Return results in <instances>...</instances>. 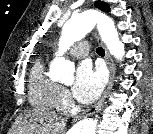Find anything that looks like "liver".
<instances>
[{
	"label": "liver",
	"instance_id": "6515ba94",
	"mask_svg": "<svg viewBox=\"0 0 153 134\" xmlns=\"http://www.w3.org/2000/svg\"><path fill=\"white\" fill-rule=\"evenodd\" d=\"M27 119L29 122H27ZM64 127V121L59 124L57 116L40 111H26L24 113V122L17 129V134H49L56 132L59 128Z\"/></svg>",
	"mask_w": 153,
	"mask_h": 134
}]
</instances>
